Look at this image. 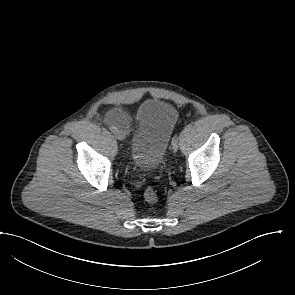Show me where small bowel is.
<instances>
[{
  "mask_svg": "<svg viewBox=\"0 0 295 295\" xmlns=\"http://www.w3.org/2000/svg\"><path fill=\"white\" fill-rule=\"evenodd\" d=\"M106 119L110 124L120 126L124 129H128L131 125V117L127 113L120 110L111 111L107 115Z\"/></svg>",
  "mask_w": 295,
  "mask_h": 295,
  "instance_id": "small-bowel-1",
  "label": "small bowel"
}]
</instances>
